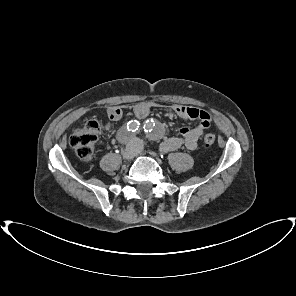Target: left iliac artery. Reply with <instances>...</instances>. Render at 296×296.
Masks as SVG:
<instances>
[{
	"instance_id": "obj_1",
	"label": "left iliac artery",
	"mask_w": 296,
	"mask_h": 296,
	"mask_svg": "<svg viewBox=\"0 0 296 296\" xmlns=\"http://www.w3.org/2000/svg\"><path fill=\"white\" fill-rule=\"evenodd\" d=\"M146 123H147V122H146ZM143 128H144V129L146 128L145 131L148 132V130H147V128H148V124H147V125H144ZM151 130H152V129H151ZM149 131H150V130H149Z\"/></svg>"
}]
</instances>
